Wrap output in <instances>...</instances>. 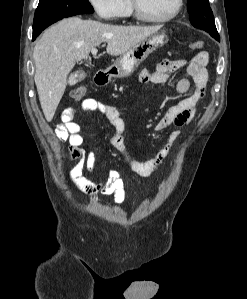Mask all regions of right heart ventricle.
<instances>
[{
    "label": "right heart ventricle",
    "instance_id": "1",
    "mask_svg": "<svg viewBox=\"0 0 247 299\" xmlns=\"http://www.w3.org/2000/svg\"><path fill=\"white\" fill-rule=\"evenodd\" d=\"M133 14L131 0H122L121 16L130 17Z\"/></svg>",
    "mask_w": 247,
    "mask_h": 299
}]
</instances>
